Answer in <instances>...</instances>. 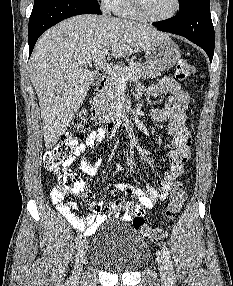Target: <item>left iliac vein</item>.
I'll use <instances>...</instances> for the list:
<instances>
[{
    "instance_id": "4c4485c4",
    "label": "left iliac vein",
    "mask_w": 233,
    "mask_h": 286,
    "mask_svg": "<svg viewBox=\"0 0 233 286\" xmlns=\"http://www.w3.org/2000/svg\"><path fill=\"white\" fill-rule=\"evenodd\" d=\"M157 262L159 266L160 275L163 279L169 278V269L165 256L161 251L157 252Z\"/></svg>"
}]
</instances>
